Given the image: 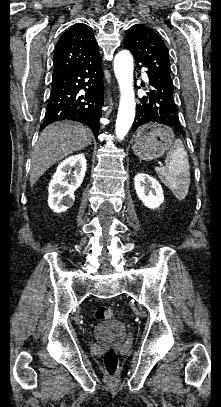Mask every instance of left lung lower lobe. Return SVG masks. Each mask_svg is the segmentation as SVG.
<instances>
[{
	"instance_id": "1",
	"label": "left lung lower lobe",
	"mask_w": 221,
	"mask_h": 407,
	"mask_svg": "<svg viewBox=\"0 0 221 407\" xmlns=\"http://www.w3.org/2000/svg\"><path fill=\"white\" fill-rule=\"evenodd\" d=\"M126 49L127 45L124 43ZM140 69L143 65L136 62ZM149 84L152 87L147 96L139 99L136 116L132 126L133 131L146 123H160L169 126L182 135L185 134L178 117V107L175 104L173 82L160 78L146 71Z\"/></svg>"
}]
</instances>
